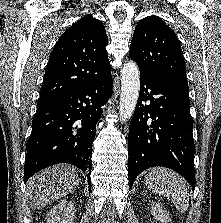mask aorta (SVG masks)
<instances>
[{"instance_id": "1", "label": "aorta", "mask_w": 221, "mask_h": 223, "mask_svg": "<svg viewBox=\"0 0 221 223\" xmlns=\"http://www.w3.org/2000/svg\"><path fill=\"white\" fill-rule=\"evenodd\" d=\"M140 91V72L133 61L126 62L121 70V96L119 116L122 122L129 120L134 113Z\"/></svg>"}]
</instances>
